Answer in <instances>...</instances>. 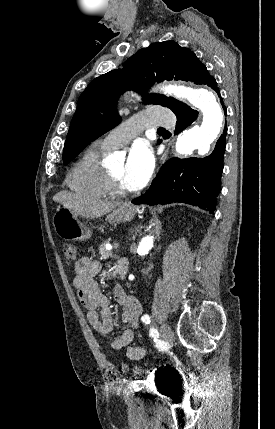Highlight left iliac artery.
Segmentation results:
<instances>
[{
    "label": "left iliac artery",
    "mask_w": 275,
    "mask_h": 429,
    "mask_svg": "<svg viewBox=\"0 0 275 429\" xmlns=\"http://www.w3.org/2000/svg\"><path fill=\"white\" fill-rule=\"evenodd\" d=\"M142 322L145 324H149L150 323V316L149 315H144L141 318Z\"/></svg>",
    "instance_id": "obj_1"
}]
</instances>
